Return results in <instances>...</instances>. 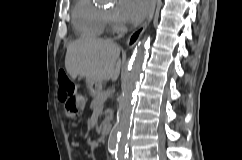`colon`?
Here are the masks:
<instances>
[{
	"label": "colon",
	"instance_id": "colon-1",
	"mask_svg": "<svg viewBox=\"0 0 242 160\" xmlns=\"http://www.w3.org/2000/svg\"><path fill=\"white\" fill-rule=\"evenodd\" d=\"M59 84V100L64 103L65 113L68 115H74L80 105V100L75 96V85L69 79L68 75L61 71L58 73Z\"/></svg>",
	"mask_w": 242,
	"mask_h": 160
}]
</instances>
